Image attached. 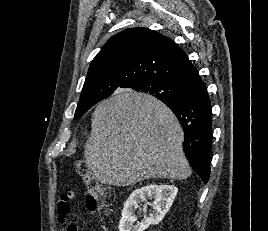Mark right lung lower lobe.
Returning <instances> with one entry per match:
<instances>
[{
	"mask_svg": "<svg viewBox=\"0 0 268 231\" xmlns=\"http://www.w3.org/2000/svg\"><path fill=\"white\" fill-rule=\"evenodd\" d=\"M180 121L185 140L184 152L192 168L204 183L210 177L212 113L205 83L200 80L179 100H162Z\"/></svg>",
	"mask_w": 268,
	"mask_h": 231,
	"instance_id": "98d812e1",
	"label": "right lung lower lobe"
}]
</instances>
